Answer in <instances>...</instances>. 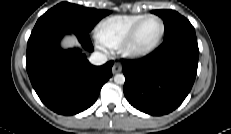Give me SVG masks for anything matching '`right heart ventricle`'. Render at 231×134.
Returning a JSON list of instances; mask_svg holds the SVG:
<instances>
[{
  "mask_svg": "<svg viewBox=\"0 0 231 134\" xmlns=\"http://www.w3.org/2000/svg\"><path fill=\"white\" fill-rule=\"evenodd\" d=\"M145 14L115 15L102 20L96 28L98 40L107 48H118L133 26Z\"/></svg>",
  "mask_w": 231,
  "mask_h": 134,
  "instance_id": "obj_1",
  "label": "right heart ventricle"
}]
</instances>
